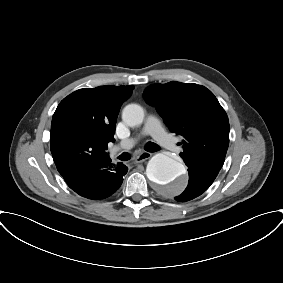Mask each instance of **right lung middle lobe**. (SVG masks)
<instances>
[{
  "mask_svg": "<svg viewBox=\"0 0 283 283\" xmlns=\"http://www.w3.org/2000/svg\"><path fill=\"white\" fill-rule=\"evenodd\" d=\"M83 153H85V150H82ZM87 154V153H86Z\"/></svg>",
  "mask_w": 283,
  "mask_h": 283,
  "instance_id": "right-lung-middle-lobe-1",
  "label": "right lung middle lobe"
}]
</instances>
